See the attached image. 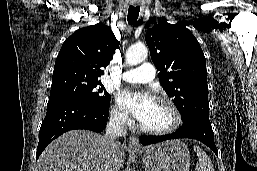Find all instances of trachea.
I'll list each match as a JSON object with an SVG mask.
<instances>
[{"label":"trachea","mask_w":257,"mask_h":171,"mask_svg":"<svg viewBox=\"0 0 257 171\" xmlns=\"http://www.w3.org/2000/svg\"><path fill=\"white\" fill-rule=\"evenodd\" d=\"M139 12H140L139 6H133V5L129 6L127 20L130 25H133L136 22L139 16Z\"/></svg>","instance_id":"1"}]
</instances>
